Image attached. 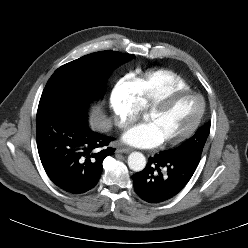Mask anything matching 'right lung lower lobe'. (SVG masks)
I'll list each match as a JSON object with an SVG mask.
<instances>
[{
    "label": "right lung lower lobe",
    "mask_w": 248,
    "mask_h": 248,
    "mask_svg": "<svg viewBox=\"0 0 248 248\" xmlns=\"http://www.w3.org/2000/svg\"><path fill=\"white\" fill-rule=\"evenodd\" d=\"M36 127L39 156L51 181L72 194L94 188L103 160L115 151L100 148L114 138L93 132L80 108H38Z\"/></svg>",
    "instance_id": "1"
}]
</instances>
